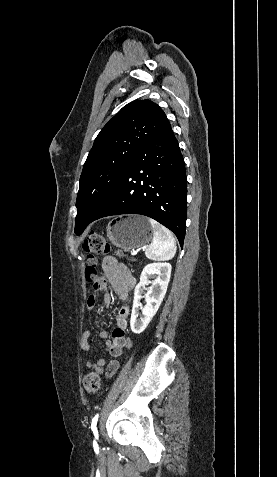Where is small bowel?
Segmentation results:
<instances>
[{
	"label": "small bowel",
	"mask_w": 277,
	"mask_h": 477,
	"mask_svg": "<svg viewBox=\"0 0 277 477\" xmlns=\"http://www.w3.org/2000/svg\"><path fill=\"white\" fill-rule=\"evenodd\" d=\"M102 271L104 277L99 281L98 289L104 294V302L110 304V295L107 290V282L112 286L118 299L125 302L128 294L135 287V278L131 275L129 269L112 256L104 257L102 261ZM97 303V295L92 294L88 297L87 306L93 309ZM129 315V306L122 305L116 313V325L112 331V339H110L107 331L102 330L99 336L105 340L107 352L117 357L121 355L123 349L130 348L131 341L127 335V318ZM90 332L84 331L81 339V346L84 351L90 350ZM87 368L93 369L98 374H105L107 378L112 377L119 368V362L115 359L111 360L106 366L105 359H97L96 361L87 360L85 362Z\"/></svg>",
	"instance_id": "1"
}]
</instances>
